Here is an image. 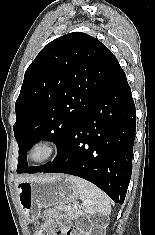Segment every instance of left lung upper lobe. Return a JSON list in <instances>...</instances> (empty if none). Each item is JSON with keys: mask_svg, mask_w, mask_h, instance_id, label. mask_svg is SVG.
<instances>
[{"mask_svg": "<svg viewBox=\"0 0 155 235\" xmlns=\"http://www.w3.org/2000/svg\"><path fill=\"white\" fill-rule=\"evenodd\" d=\"M118 65L100 41L72 32L47 44L25 72L15 104L14 136L19 146L17 173H36L46 165L28 166L31 146L48 139L63 148L77 121Z\"/></svg>", "mask_w": 155, "mask_h": 235, "instance_id": "left-lung-upper-lobe-1", "label": "left lung upper lobe"}]
</instances>
